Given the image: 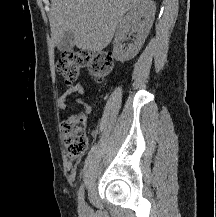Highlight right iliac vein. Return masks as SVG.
<instances>
[{
  "instance_id": "1",
  "label": "right iliac vein",
  "mask_w": 216,
  "mask_h": 217,
  "mask_svg": "<svg viewBox=\"0 0 216 217\" xmlns=\"http://www.w3.org/2000/svg\"><path fill=\"white\" fill-rule=\"evenodd\" d=\"M84 212H88V208H87V206L85 205V208H84V210H83Z\"/></svg>"
}]
</instances>
